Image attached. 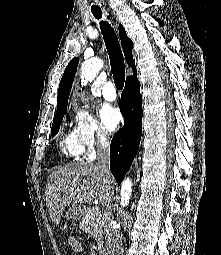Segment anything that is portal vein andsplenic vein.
I'll return each mask as SVG.
<instances>
[{"mask_svg":"<svg viewBox=\"0 0 221 255\" xmlns=\"http://www.w3.org/2000/svg\"><path fill=\"white\" fill-rule=\"evenodd\" d=\"M96 211H100L98 207L95 208Z\"/></svg>","mask_w":221,"mask_h":255,"instance_id":"18ae733b","label":"portal vein and splenic vein"}]
</instances>
